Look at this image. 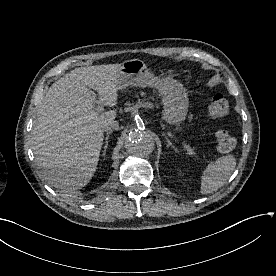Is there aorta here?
I'll use <instances>...</instances> for the list:
<instances>
[{
    "label": "aorta",
    "instance_id": "aorta-1",
    "mask_svg": "<svg viewBox=\"0 0 276 276\" xmlns=\"http://www.w3.org/2000/svg\"><path fill=\"white\" fill-rule=\"evenodd\" d=\"M125 146L130 154L145 157L153 152L155 141L149 133L133 130L129 133Z\"/></svg>",
    "mask_w": 276,
    "mask_h": 276
}]
</instances>
